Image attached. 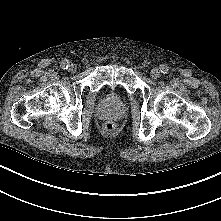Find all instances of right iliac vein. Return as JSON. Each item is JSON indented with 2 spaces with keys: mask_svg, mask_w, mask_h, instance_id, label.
<instances>
[{
  "mask_svg": "<svg viewBox=\"0 0 221 221\" xmlns=\"http://www.w3.org/2000/svg\"><path fill=\"white\" fill-rule=\"evenodd\" d=\"M76 70H77V66L75 64L69 65V71L70 72L74 73V72H76Z\"/></svg>",
  "mask_w": 221,
  "mask_h": 221,
  "instance_id": "right-iliac-vein-1",
  "label": "right iliac vein"
}]
</instances>
